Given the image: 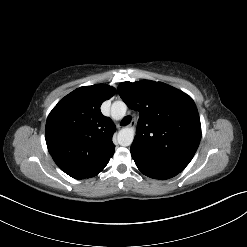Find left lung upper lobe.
I'll return each mask as SVG.
<instances>
[{
  "mask_svg": "<svg viewBox=\"0 0 247 247\" xmlns=\"http://www.w3.org/2000/svg\"><path fill=\"white\" fill-rule=\"evenodd\" d=\"M118 93L129 108L140 113L131 149L183 171L201 140L194 101L172 86L151 80L120 83Z\"/></svg>",
  "mask_w": 247,
  "mask_h": 247,
  "instance_id": "1",
  "label": "left lung upper lobe"
}]
</instances>
